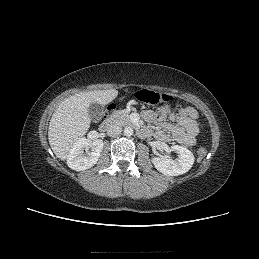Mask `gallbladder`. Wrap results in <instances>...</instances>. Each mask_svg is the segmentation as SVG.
Here are the masks:
<instances>
[{"label": "gallbladder", "instance_id": "bac80fb5", "mask_svg": "<svg viewBox=\"0 0 259 259\" xmlns=\"http://www.w3.org/2000/svg\"><path fill=\"white\" fill-rule=\"evenodd\" d=\"M103 107L102 105L98 104V103H92L90 104L89 108H88V113L89 116L91 118V120L97 122L102 118L103 115Z\"/></svg>", "mask_w": 259, "mask_h": 259}]
</instances>
